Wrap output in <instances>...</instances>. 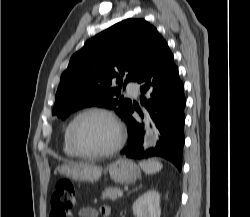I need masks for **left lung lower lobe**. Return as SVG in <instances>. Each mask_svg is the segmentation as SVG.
<instances>
[{
    "instance_id": "left-lung-lower-lobe-1",
    "label": "left lung lower lobe",
    "mask_w": 250,
    "mask_h": 217,
    "mask_svg": "<svg viewBox=\"0 0 250 217\" xmlns=\"http://www.w3.org/2000/svg\"><path fill=\"white\" fill-rule=\"evenodd\" d=\"M136 82L141 84L140 100L144 110L133 104L127 112L124 121L129 128V141L122 153L136 159L162 157L181 170L186 99L173 54L164 39L151 65ZM134 110L140 119L132 117ZM146 121H151L159 130L154 148L143 147Z\"/></svg>"
}]
</instances>
